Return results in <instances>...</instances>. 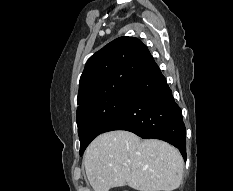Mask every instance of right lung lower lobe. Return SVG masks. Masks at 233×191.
I'll list each match as a JSON object with an SVG mask.
<instances>
[{
  "label": "right lung lower lobe",
  "mask_w": 233,
  "mask_h": 191,
  "mask_svg": "<svg viewBox=\"0 0 233 191\" xmlns=\"http://www.w3.org/2000/svg\"><path fill=\"white\" fill-rule=\"evenodd\" d=\"M126 107L102 130H126L177 147L186 160V131L180 107L152 58L128 91Z\"/></svg>",
  "instance_id": "98d812e1"
}]
</instances>
